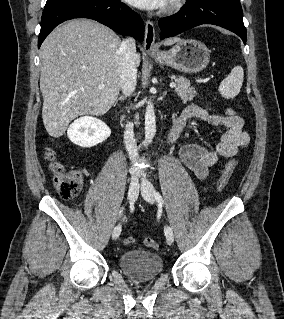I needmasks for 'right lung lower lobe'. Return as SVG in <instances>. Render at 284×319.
<instances>
[{
    "instance_id": "98d812e1",
    "label": "right lung lower lobe",
    "mask_w": 284,
    "mask_h": 319,
    "mask_svg": "<svg viewBox=\"0 0 284 319\" xmlns=\"http://www.w3.org/2000/svg\"><path fill=\"white\" fill-rule=\"evenodd\" d=\"M73 18H90L121 34L144 39L143 20L119 0H56L45 5L38 48L58 24Z\"/></svg>"
}]
</instances>
